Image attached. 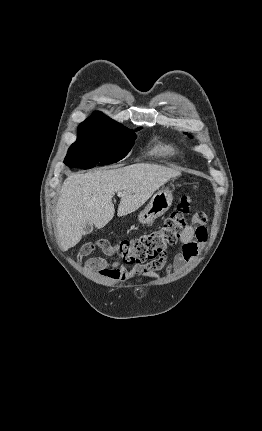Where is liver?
I'll return each mask as SVG.
<instances>
[{
    "label": "liver",
    "mask_w": 262,
    "mask_h": 431,
    "mask_svg": "<svg viewBox=\"0 0 262 431\" xmlns=\"http://www.w3.org/2000/svg\"><path fill=\"white\" fill-rule=\"evenodd\" d=\"M180 175L178 170L148 163L70 175L57 202L61 248L66 251L80 242L86 222L101 229L113 218L115 192H124L117 211L122 217L136 211L156 190Z\"/></svg>",
    "instance_id": "1"
}]
</instances>
